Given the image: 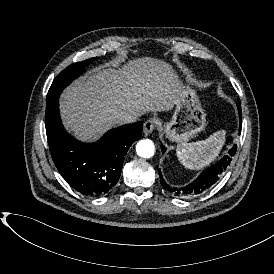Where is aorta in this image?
<instances>
[{
  "label": "aorta",
  "mask_w": 274,
  "mask_h": 274,
  "mask_svg": "<svg viewBox=\"0 0 274 274\" xmlns=\"http://www.w3.org/2000/svg\"><path fill=\"white\" fill-rule=\"evenodd\" d=\"M154 144L149 139L140 140L136 145L137 155L142 158H151L154 155Z\"/></svg>",
  "instance_id": "obj_1"
}]
</instances>
